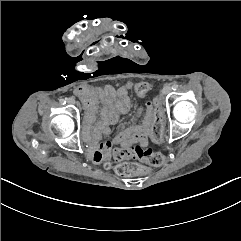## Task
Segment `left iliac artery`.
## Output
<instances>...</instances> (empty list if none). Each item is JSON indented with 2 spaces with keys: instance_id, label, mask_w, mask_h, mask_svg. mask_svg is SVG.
Listing matches in <instances>:
<instances>
[{
  "instance_id": "44dca946",
  "label": "left iliac artery",
  "mask_w": 241,
  "mask_h": 241,
  "mask_svg": "<svg viewBox=\"0 0 241 241\" xmlns=\"http://www.w3.org/2000/svg\"><path fill=\"white\" fill-rule=\"evenodd\" d=\"M178 87H179V85H178L177 83H174V84L172 85V89H173V90H177Z\"/></svg>"
}]
</instances>
